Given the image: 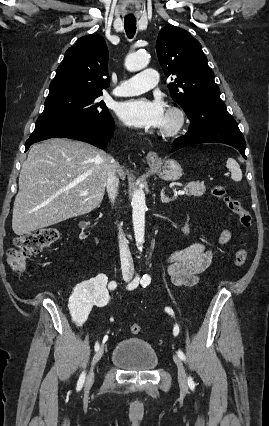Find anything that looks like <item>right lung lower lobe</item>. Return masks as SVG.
Segmentation results:
<instances>
[{
  "label": "right lung lower lobe",
  "instance_id": "obj_1",
  "mask_svg": "<svg viewBox=\"0 0 269 426\" xmlns=\"http://www.w3.org/2000/svg\"><path fill=\"white\" fill-rule=\"evenodd\" d=\"M115 124L111 114L96 121H85L72 126L45 132L37 137L29 138L25 144V151L33 143L55 137L76 139L90 143L98 148L105 149L107 142L113 135Z\"/></svg>",
  "mask_w": 269,
  "mask_h": 426
}]
</instances>
